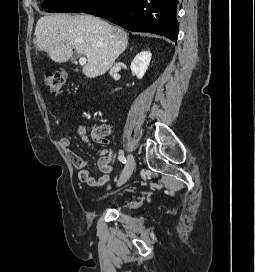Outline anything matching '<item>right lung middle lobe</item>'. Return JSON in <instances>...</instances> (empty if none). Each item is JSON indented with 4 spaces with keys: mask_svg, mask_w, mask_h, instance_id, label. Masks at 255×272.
Masks as SVG:
<instances>
[{
    "mask_svg": "<svg viewBox=\"0 0 255 272\" xmlns=\"http://www.w3.org/2000/svg\"><path fill=\"white\" fill-rule=\"evenodd\" d=\"M98 0H45L42 7L47 12H84Z\"/></svg>",
    "mask_w": 255,
    "mask_h": 272,
    "instance_id": "dd1d6c3e",
    "label": "right lung middle lobe"
}]
</instances>
